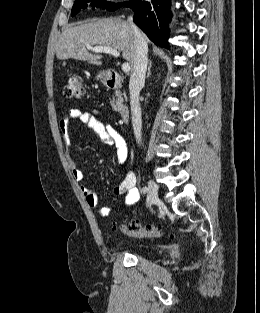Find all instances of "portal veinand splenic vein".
Segmentation results:
<instances>
[{
    "mask_svg": "<svg viewBox=\"0 0 260 313\" xmlns=\"http://www.w3.org/2000/svg\"><path fill=\"white\" fill-rule=\"evenodd\" d=\"M87 49L93 51V52H103V53H108V54H111L115 57H119L120 56V53L119 51H117L116 49H113L111 47H108V46H95V47H92L91 45H86ZM130 65L128 62H125L122 64V70L123 72L127 73L130 71Z\"/></svg>",
    "mask_w": 260,
    "mask_h": 313,
    "instance_id": "18ae733b",
    "label": "portal vein and splenic vein"
}]
</instances>
